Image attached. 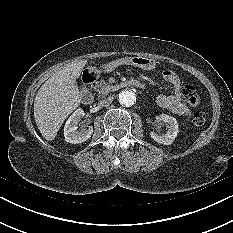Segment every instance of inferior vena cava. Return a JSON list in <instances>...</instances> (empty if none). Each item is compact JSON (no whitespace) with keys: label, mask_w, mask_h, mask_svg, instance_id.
Wrapping results in <instances>:
<instances>
[{"label":"inferior vena cava","mask_w":233,"mask_h":233,"mask_svg":"<svg viewBox=\"0 0 233 233\" xmlns=\"http://www.w3.org/2000/svg\"><path fill=\"white\" fill-rule=\"evenodd\" d=\"M113 101V96H109L103 100L100 101V105L102 106H109Z\"/></svg>","instance_id":"obj_1"}]
</instances>
